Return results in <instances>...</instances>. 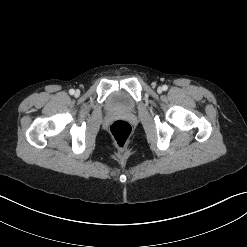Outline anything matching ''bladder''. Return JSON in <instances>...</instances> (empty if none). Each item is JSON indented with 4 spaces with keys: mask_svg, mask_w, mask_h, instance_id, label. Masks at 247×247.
I'll list each match as a JSON object with an SVG mask.
<instances>
[{
    "mask_svg": "<svg viewBox=\"0 0 247 247\" xmlns=\"http://www.w3.org/2000/svg\"><path fill=\"white\" fill-rule=\"evenodd\" d=\"M109 107L113 110H130L132 102L125 93L116 92L110 97Z\"/></svg>",
    "mask_w": 247,
    "mask_h": 247,
    "instance_id": "1",
    "label": "bladder"
}]
</instances>
